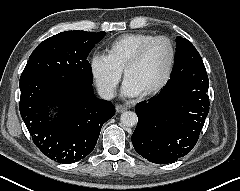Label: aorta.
I'll list each match as a JSON object with an SVG mask.
<instances>
[{
    "instance_id": "762f6f07",
    "label": "aorta",
    "mask_w": 240,
    "mask_h": 191,
    "mask_svg": "<svg viewBox=\"0 0 240 191\" xmlns=\"http://www.w3.org/2000/svg\"><path fill=\"white\" fill-rule=\"evenodd\" d=\"M120 121L124 127H133L137 124L138 117L135 112L126 111L121 114Z\"/></svg>"
}]
</instances>
